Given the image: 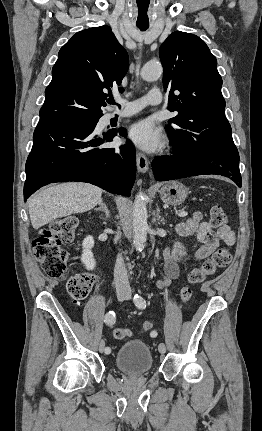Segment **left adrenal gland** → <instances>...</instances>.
Listing matches in <instances>:
<instances>
[{
	"mask_svg": "<svg viewBox=\"0 0 262 431\" xmlns=\"http://www.w3.org/2000/svg\"><path fill=\"white\" fill-rule=\"evenodd\" d=\"M157 220L159 221V222H161V223H164V219H162L161 218V216H160V210H159V208L157 209Z\"/></svg>",
	"mask_w": 262,
	"mask_h": 431,
	"instance_id": "a2214340",
	"label": "left adrenal gland"
}]
</instances>
